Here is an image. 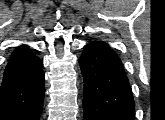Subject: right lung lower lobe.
Returning <instances> with one entry per match:
<instances>
[{"mask_svg":"<svg viewBox=\"0 0 165 120\" xmlns=\"http://www.w3.org/2000/svg\"><path fill=\"white\" fill-rule=\"evenodd\" d=\"M44 93L42 60L28 46L17 47L0 86V120H39Z\"/></svg>","mask_w":165,"mask_h":120,"instance_id":"98d812e1","label":"right lung lower lobe"}]
</instances>
